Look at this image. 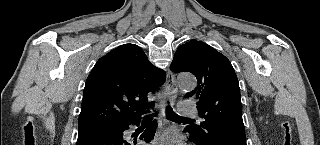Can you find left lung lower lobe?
I'll return each instance as SVG.
<instances>
[{"label":"left lung lower lobe","mask_w":320,"mask_h":145,"mask_svg":"<svg viewBox=\"0 0 320 145\" xmlns=\"http://www.w3.org/2000/svg\"><path fill=\"white\" fill-rule=\"evenodd\" d=\"M186 132H189V127L185 128ZM190 141L197 145H246V137L243 135H238L229 132L219 133L214 141L209 142L208 144L205 142L198 141L194 137L190 135Z\"/></svg>","instance_id":"obj_1"}]
</instances>
